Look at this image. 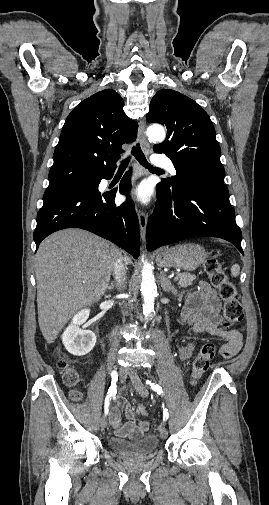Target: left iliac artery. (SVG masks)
I'll return each mask as SVG.
<instances>
[{"instance_id": "left-iliac-artery-1", "label": "left iliac artery", "mask_w": 269, "mask_h": 505, "mask_svg": "<svg viewBox=\"0 0 269 505\" xmlns=\"http://www.w3.org/2000/svg\"><path fill=\"white\" fill-rule=\"evenodd\" d=\"M150 387L153 391H155L157 394H163L162 388L158 384L151 383ZM169 417V413L167 409L163 410V421H167Z\"/></svg>"}]
</instances>
